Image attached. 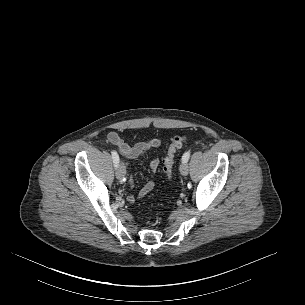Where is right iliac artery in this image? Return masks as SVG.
<instances>
[{"mask_svg": "<svg viewBox=\"0 0 305 305\" xmlns=\"http://www.w3.org/2000/svg\"><path fill=\"white\" fill-rule=\"evenodd\" d=\"M111 154H112L113 163H114L115 167H117L118 163H119V156L115 150H112Z\"/></svg>", "mask_w": 305, "mask_h": 305, "instance_id": "82829eb1", "label": "right iliac artery"}]
</instances>
